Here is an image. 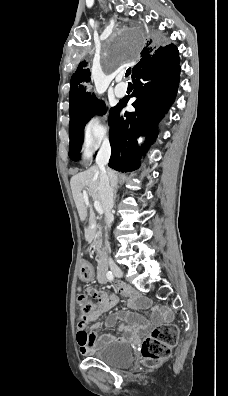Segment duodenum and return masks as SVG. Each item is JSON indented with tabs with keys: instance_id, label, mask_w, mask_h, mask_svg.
<instances>
[{
	"instance_id": "410a0bca",
	"label": "duodenum",
	"mask_w": 228,
	"mask_h": 396,
	"mask_svg": "<svg viewBox=\"0 0 228 396\" xmlns=\"http://www.w3.org/2000/svg\"><path fill=\"white\" fill-rule=\"evenodd\" d=\"M105 255H106L105 248H101L99 250V255H98V274L100 276L104 274V270H105Z\"/></svg>"
}]
</instances>
